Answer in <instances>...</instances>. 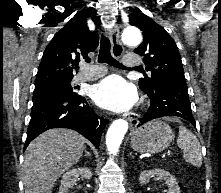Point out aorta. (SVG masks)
Segmentation results:
<instances>
[{"instance_id":"762f6f07","label":"aorta","mask_w":221,"mask_h":193,"mask_svg":"<svg viewBox=\"0 0 221 193\" xmlns=\"http://www.w3.org/2000/svg\"><path fill=\"white\" fill-rule=\"evenodd\" d=\"M122 40L126 45H139L142 40L140 31L135 27H127L122 34ZM128 122L124 119L115 120L106 135L107 149L111 154H117L119 147L128 130Z\"/></svg>"}]
</instances>
